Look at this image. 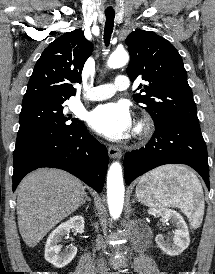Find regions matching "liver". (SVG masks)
Returning <instances> with one entry per match:
<instances>
[{"label": "liver", "mask_w": 215, "mask_h": 274, "mask_svg": "<svg viewBox=\"0 0 215 274\" xmlns=\"http://www.w3.org/2000/svg\"><path fill=\"white\" fill-rule=\"evenodd\" d=\"M85 187L73 175L59 169H38L17 189V217L22 239L35 247L60 221L76 211Z\"/></svg>", "instance_id": "1"}]
</instances>
